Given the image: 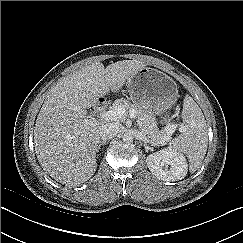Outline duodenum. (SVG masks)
<instances>
[{
    "label": "duodenum",
    "mask_w": 243,
    "mask_h": 243,
    "mask_svg": "<svg viewBox=\"0 0 243 243\" xmlns=\"http://www.w3.org/2000/svg\"><path fill=\"white\" fill-rule=\"evenodd\" d=\"M107 105V100L105 97L103 96H100L97 101H96V104H95V108L99 111H102Z\"/></svg>",
    "instance_id": "obj_1"
}]
</instances>
